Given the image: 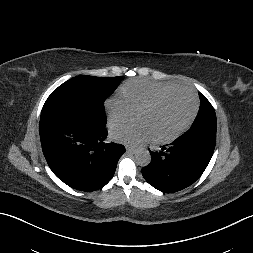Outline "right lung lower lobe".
Instances as JSON below:
<instances>
[{
  "mask_svg": "<svg viewBox=\"0 0 253 253\" xmlns=\"http://www.w3.org/2000/svg\"><path fill=\"white\" fill-rule=\"evenodd\" d=\"M42 150L53 173L68 186L95 191L113 177L125 147L105 143L108 132L70 115L41 117L39 123Z\"/></svg>",
  "mask_w": 253,
  "mask_h": 253,
  "instance_id": "1",
  "label": "right lung lower lobe"
}]
</instances>
